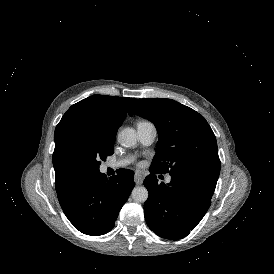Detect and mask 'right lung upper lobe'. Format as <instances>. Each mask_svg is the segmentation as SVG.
<instances>
[{
    "instance_id": "cb5924a9",
    "label": "right lung upper lobe",
    "mask_w": 274,
    "mask_h": 274,
    "mask_svg": "<svg viewBox=\"0 0 274 274\" xmlns=\"http://www.w3.org/2000/svg\"><path fill=\"white\" fill-rule=\"evenodd\" d=\"M134 100L135 98L93 95L69 108L54 133L53 166L56 190L63 188L76 177L60 160V151L65 141L91 127H120L128 107Z\"/></svg>"
}]
</instances>
